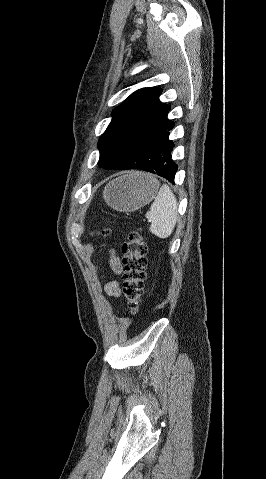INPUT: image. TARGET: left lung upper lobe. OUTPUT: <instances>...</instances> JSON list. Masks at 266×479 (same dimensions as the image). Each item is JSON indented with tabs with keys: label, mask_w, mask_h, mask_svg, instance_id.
Segmentation results:
<instances>
[{
	"label": "left lung upper lobe",
	"mask_w": 266,
	"mask_h": 479,
	"mask_svg": "<svg viewBox=\"0 0 266 479\" xmlns=\"http://www.w3.org/2000/svg\"><path fill=\"white\" fill-rule=\"evenodd\" d=\"M161 92L156 87L139 89L113 110L98 141L100 167L133 169L157 155L170 110L160 102Z\"/></svg>",
	"instance_id": "obj_1"
}]
</instances>
